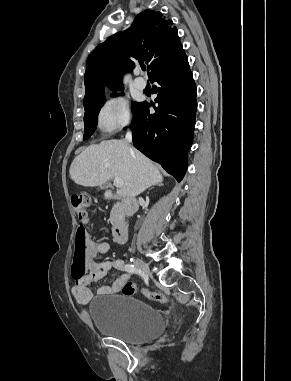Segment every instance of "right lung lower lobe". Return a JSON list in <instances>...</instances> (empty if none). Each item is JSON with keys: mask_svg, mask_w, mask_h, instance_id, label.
Instances as JSON below:
<instances>
[{"mask_svg": "<svg viewBox=\"0 0 291 381\" xmlns=\"http://www.w3.org/2000/svg\"><path fill=\"white\" fill-rule=\"evenodd\" d=\"M157 82L156 103H139L134 110L133 144L161 166L178 182L187 169V151L193 140L197 110L196 86L182 49L150 76ZM156 110L149 113V107Z\"/></svg>", "mask_w": 291, "mask_h": 381, "instance_id": "1", "label": "right lung lower lobe"}]
</instances>
